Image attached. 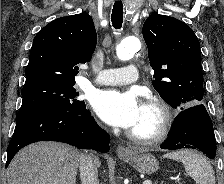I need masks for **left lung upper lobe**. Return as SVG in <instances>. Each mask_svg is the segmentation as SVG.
<instances>
[{
    "mask_svg": "<svg viewBox=\"0 0 224 184\" xmlns=\"http://www.w3.org/2000/svg\"><path fill=\"white\" fill-rule=\"evenodd\" d=\"M142 32L154 70L153 86L161 98L173 108L201 104V51L193 30L176 18L153 13Z\"/></svg>",
    "mask_w": 224,
    "mask_h": 184,
    "instance_id": "1",
    "label": "left lung upper lobe"
}]
</instances>
